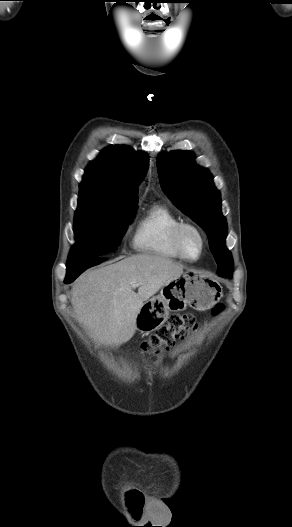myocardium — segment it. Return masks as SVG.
I'll return each mask as SVG.
<instances>
[{"instance_id":"obj_1","label":"myocardium","mask_w":292,"mask_h":527,"mask_svg":"<svg viewBox=\"0 0 292 527\" xmlns=\"http://www.w3.org/2000/svg\"><path fill=\"white\" fill-rule=\"evenodd\" d=\"M188 230H191V231L195 232L198 235V237L200 238V242H201L200 252H199L198 256L195 257V258L189 257L185 253V250H184L183 235ZM173 243H174L175 249L178 252V254L181 257V259H183L185 261H188V262H197L198 260H200L202 258L203 254H204V252L206 250L207 239H206L205 233L203 232V230L198 225H196L194 223H191V222H181L174 229V232H173Z\"/></svg>"}]
</instances>
